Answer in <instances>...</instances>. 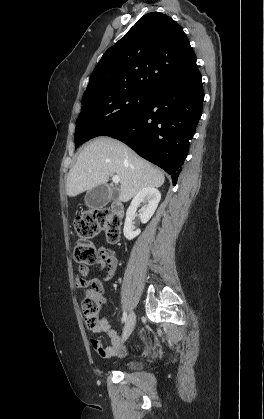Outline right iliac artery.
<instances>
[{
    "label": "right iliac artery",
    "mask_w": 264,
    "mask_h": 419,
    "mask_svg": "<svg viewBox=\"0 0 264 419\" xmlns=\"http://www.w3.org/2000/svg\"><path fill=\"white\" fill-rule=\"evenodd\" d=\"M126 320H127V313L124 312L123 315H122V321L126 322Z\"/></svg>",
    "instance_id": "82829eb1"
}]
</instances>
